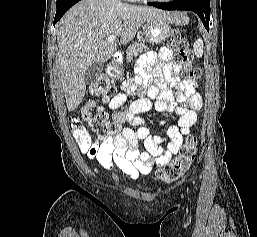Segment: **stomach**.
Masks as SVG:
<instances>
[{
  "label": "stomach",
  "mask_w": 257,
  "mask_h": 237,
  "mask_svg": "<svg viewBox=\"0 0 257 237\" xmlns=\"http://www.w3.org/2000/svg\"><path fill=\"white\" fill-rule=\"evenodd\" d=\"M169 22L162 17L148 19L144 24V38L150 44H160L171 36Z\"/></svg>",
  "instance_id": "0dacf381"
}]
</instances>
